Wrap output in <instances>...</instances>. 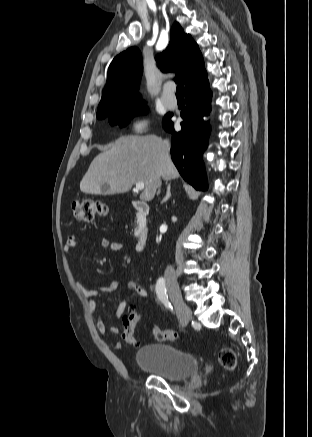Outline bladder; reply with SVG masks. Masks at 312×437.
Returning a JSON list of instances; mask_svg holds the SVG:
<instances>
[{"label":"bladder","mask_w":312,"mask_h":437,"mask_svg":"<svg viewBox=\"0 0 312 437\" xmlns=\"http://www.w3.org/2000/svg\"><path fill=\"white\" fill-rule=\"evenodd\" d=\"M136 364L152 375L168 381H180L198 372L199 363L194 354L166 343H153L141 347Z\"/></svg>","instance_id":"1"}]
</instances>
